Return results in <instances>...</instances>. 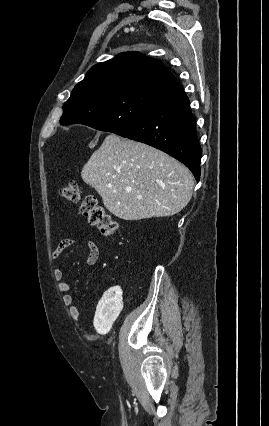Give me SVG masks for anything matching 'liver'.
<instances>
[{"instance_id": "6515ba94", "label": "liver", "mask_w": 269, "mask_h": 426, "mask_svg": "<svg viewBox=\"0 0 269 426\" xmlns=\"http://www.w3.org/2000/svg\"><path fill=\"white\" fill-rule=\"evenodd\" d=\"M106 209L123 220L179 213L192 196L189 169L147 144L109 134L82 168Z\"/></svg>"}]
</instances>
